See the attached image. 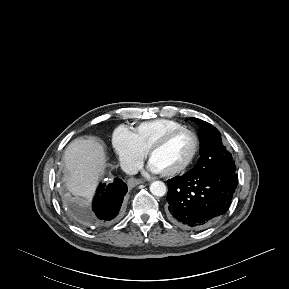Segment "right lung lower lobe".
Returning a JSON list of instances; mask_svg holds the SVG:
<instances>
[{"label": "right lung lower lobe", "instance_id": "obj_1", "mask_svg": "<svg viewBox=\"0 0 289 289\" xmlns=\"http://www.w3.org/2000/svg\"><path fill=\"white\" fill-rule=\"evenodd\" d=\"M126 193L127 185L119 178L107 186L100 184L93 200L89 223L102 227L116 222L120 218V209Z\"/></svg>", "mask_w": 289, "mask_h": 289}]
</instances>
